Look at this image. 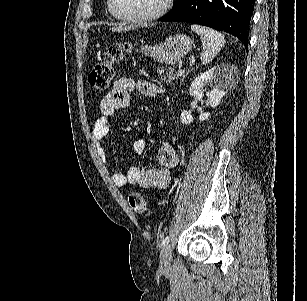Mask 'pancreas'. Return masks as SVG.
<instances>
[{
	"label": "pancreas",
	"mask_w": 307,
	"mask_h": 301,
	"mask_svg": "<svg viewBox=\"0 0 307 301\" xmlns=\"http://www.w3.org/2000/svg\"><path fill=\"white\" fill-rule=\"evenodd\" d=\"M163 80H167V82H170V80H178V72H176L175 68H166V70H163Z\"/></svg>",
	"instance_id": "cf45deb5"
}]
</instances>
